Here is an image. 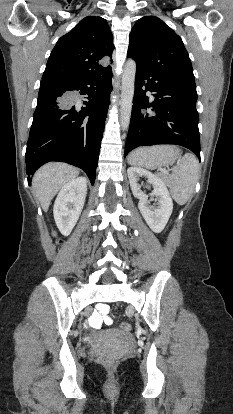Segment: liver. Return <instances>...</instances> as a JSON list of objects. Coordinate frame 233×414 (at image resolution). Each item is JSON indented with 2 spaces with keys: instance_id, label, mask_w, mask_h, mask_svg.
Segmentation results:
<instances>
[{
  "instance_id": "1",
  "label": "liver",
  "mask_w": 233,
  "mask_h": 414,
  "mask_svg": "<svg viewBox=\"0 0 233 414\" xmlns=\"http://www.w3.org/2000/svg\"><path fill=\"white\" fill-rule=\"evenodd\" d=\"M78 175V168L60 162H51L38 169L33 176L32 185L42 209L47 211L58 191Z\"/></svg>"
}]
</instances>
